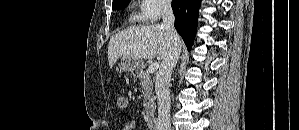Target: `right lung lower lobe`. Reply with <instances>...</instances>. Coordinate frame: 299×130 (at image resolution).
I'll return each instance as SVG.
<instances>
[{"instance_id": "obj_1", "label": "right lung lower lobe", "mask_w": 299, "mask_h": 130, "mask_svg": "<svg viewBox=\"0 0 299 130\" xmlns=\"http://www.w3.org/2000/svg\"><path fill=\"white\" fill-rule=\"evenodd\" d=\"M200 4L201 0H173L174 25L188 50H191L195 39Z\"/></svg>"}]
</instances>
